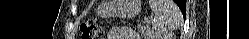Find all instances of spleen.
I'll list each match as a JSON object with an SVG mask.
<instances>
[{
    "mask_svg": "<svg viewBox=\"0 0 249 39\" xmlns=\"http://www.w3.org/2000/svg\"><path fill=\"white\" fill-rule=\"evenodd\" d=\"M149 5L154 12L151 19L152 28L156 31L154 37L163 39L173 29L174 24H179L181 12L171 0H149Z\"/></svg>",
    "mask_w": 249,
    "mask_h": 39,
    "instance_id": "1",
    "label": "spleen"
}]
</instances>
